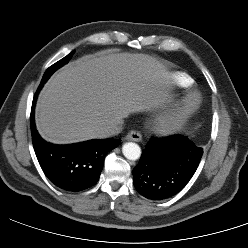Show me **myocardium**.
Here are the masks:
<instances>
[{
	"label": "myocardium",
	"mask_w": 248,
	"mask_h": 248,
	"mask_svg": "<svg viewBox=\"0 0 248 248\" xmlns=\"http://www.w3.org/2000/svg\"><path fill=\"white\" fill-rule=\"evenodd\" d=\"M199 107V97L190 95L174 112L163 118L158 127L164 133L173 131L188 116L193 114Z\"/></svg>",
	"instance_id": "1"
}]
</instances>
